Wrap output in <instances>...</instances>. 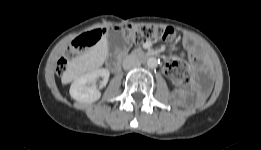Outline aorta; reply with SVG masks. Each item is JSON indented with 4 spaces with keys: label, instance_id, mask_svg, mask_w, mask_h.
<instances>
[{
    "label": "aorta",
    "instance_id": "762f6f07",
    "mask_svg": "<svg viewBox=\"0 0 261 150\" xmlns=\"http://www.w3.org/2000/svg\"><path fill=\"white\" fill-rule=\"evenodd\" d=\"M147 66L151 69H154L158 66V61L155 57H150L147 60Z\"/></svg>",
    "mask_w": 261,
    "mask_h": 150
}]
</instances>
